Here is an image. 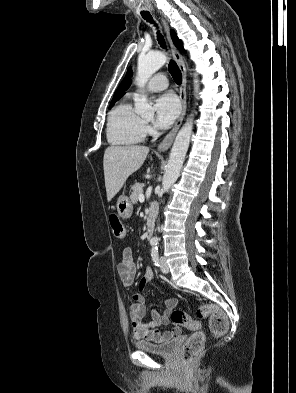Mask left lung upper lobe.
Masks as SVG:
<instances>
[{"label": "left lung upper lobe", "mask_w": 296, "mask_h": 393, "mask_svg": "<svg viewBox=\"0 0 296 393\" xmlns=\"http://www.w3.org/2000/svg\"><path fill=\"white\" fill-rule=\"evenodd\" d=\"M171 35H172V39L174 44L176 45V47L180 50V51H184L183 46H182V42L177 38L176 34L174 31H171ZM131 68H129L125 78L123 79V81L121 82V84L119 85V87L117 88V90L114 93L113 99L110 103L109 108H112L113 105L115 104V102L120 99L122 97V93L124 91H126L128 89V87L131 84Z\"/></svg>", "instance_id": "obj_1"}]
</instances>
